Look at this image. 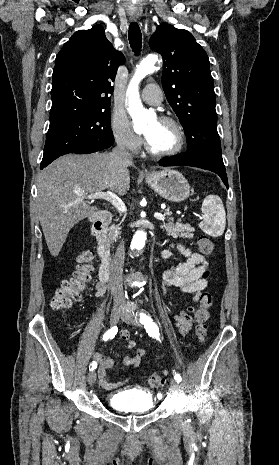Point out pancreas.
Listing matches in <instances>:
<instances>
[{"label": "pancreas", "mask_w": 279, "mask_h": 465, "mask_svg": "<svg viewBox=\"0 0 279 465\" xmlns=\"http://www.w3.org/2000/svg\"><path fill=\"white\" fill-rule=\"evenodd\" d=\"M165 215L170 216L171 212L166 211ZM160 228L165 230L167 234L173 238H190L192 236V232H194V228L189 224H174L172 218H170L167 223L161 224ZM120 229V224H112L109 227L108 235L106 237V242L108 244H112L117 240L118 236L120 235Z\"/></svg>", "instance_id": "cf45deb5"}]
</instances>
